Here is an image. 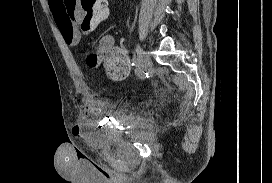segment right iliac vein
Instances as JSON below:
<instances>
[{"label":"right iliac vein","instance_id":"1","mask_svg":"<svg viewBox=\"0 0 272 183\" xmlns=\"http://www.w3.org/2000/svg\"><path fill=\"white\" fill-rule=\"evenodd\" d=\"M138 58H139V68H142V73H138V76L141 77L144 71L147 69L149 64V57L147 53L141 48L140 45H137L136 48Z\"/></svg>","mask_w":272,"mask_h":183}]
</instances>
